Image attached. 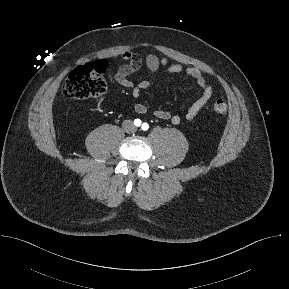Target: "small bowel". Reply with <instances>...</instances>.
Returning a JSON list of instances; mask_svg holds the SVG:
<instances>
[{
	"mask_svg": "<svg viewBox=\"0 0 289 289\" xmlns=\"http://www.w3.org/2000/svg\"><path fill=\"white\" fill-rule=\"evenodd\" d=\"M120 59L126 61L120 65L114 72V80L121 86L128 88L134 97H138L143 90H147L151 83L148 80L134 82L129 79V76L145 65L152 77L156 75L160 68L165 69L169 73L184 74L196 82L200 96L188 108L184 118L186 120L195 119L206 104L213 97V87L209 84L200 69L195 67H184L181 64L169 63L164 57H158L155 54H144L141 52L124 51L119 56ZM134 110L138 114H145L148 108L143 103H136ZM154 115L165 121H170L172 124H180L182 117L178 114H172L166 110L156 109Z\"/></svg>",
	"mask_w": 289,
	"mask_h": 289,
	"instance_id": "c3829d8e",
	"label": "small bowel"
}]
</instances>
